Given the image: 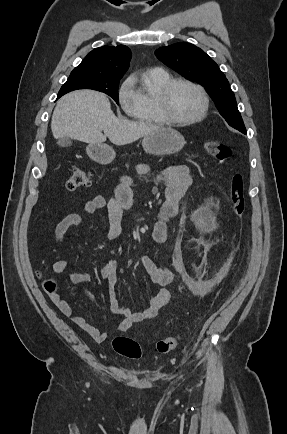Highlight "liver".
Masks as SVG:
<instances>
[{
  "label": "liver",
  "instance_id": "liver-1",
  "mask_svg": "<svg viewBox=\"0 0 287 434\" xmlns=\"http://www.w3.org/2000/svg\"><path fill=\"white\" fill-rule=\"evenodd\" d=\"M161 128L146 122L118 119L107 96L92 90H78L63 96L51 121L55 138L69 137L89 144H103L108 137L115 145H126Z\"/></svg>",
  "mask_w": 287,
  "mask_h": 434
}]
</instances>
